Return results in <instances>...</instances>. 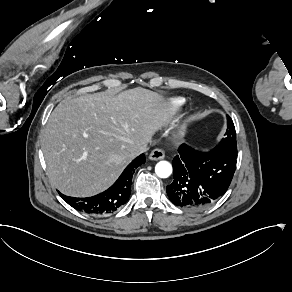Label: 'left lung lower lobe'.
Listing matches in <instances>:
<instances>
[{
    "label": "left lung lower lobe",
    "mask_w": 292,
    "mask_h": 292,
    "mask_svg": "<svg viewBox=\"0 0 292 292\" xmlns=\"http://www.w3.org/2000/svg\"><path fill=\"white\" fill-rule=\"evenodd\" d=\"M172 161L173 182L166 187L170 201L186 210L215 203L228 189L237 163V150L217 145L201 152L182 144Z\"/></svg>",
    "instance_id": "obj_1"
}]
</instances>
